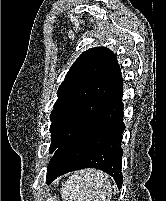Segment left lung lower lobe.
<instances>
[{
	"mask_svg": "<svg viewBox=\"0 0 166 201\" xmlns=\"http://www.w3.org/2000/svg\"><path fill=\"white\" fill-rule=\"evenodd\" d=\"M122 84L83 124L55 150L47 167L46 183L58 176L84 168L110 174L118 188L123 182L121 149L123 124Z\"/></svg>",
	"mask_w": 166,
	"mask_h": 201,
	"instance_id": "1",
	"label": "left lung lower lobe"
}]
</instances>
